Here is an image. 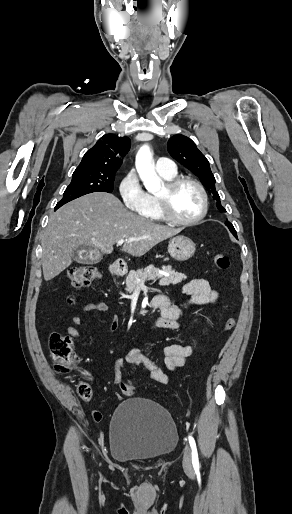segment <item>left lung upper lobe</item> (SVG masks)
I'll list each match as a JSON object with an SVG mask.
<instances>
[{
  "label": "left lung upper lobe",
  "mask_w": 292,
  "mask_h": 514,
  "mask_svg": "<svg viewBox=\"0 0 292 514\" xmlns=\"http://www.w3.org/2000/svg\"><path fill=\"white\" fill-rule=\"evenodd\" d=\"M170 155L199 177L208 192L213 194L218 210L226 212L221 205L220 197L215 188V177L210 169L207 158L200 152L195 143L184 135H174L168 141L167 146ZM232 234L237 238L235 228L230 222H225Z\"/></svg>",
  "instance_id": "1"
}]
</instances>
